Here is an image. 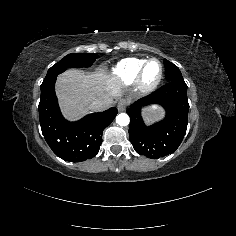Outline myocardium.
<instances>
[{
  "label": "myocardium",
  "instance_id": "obj_1",
  "mask_svg": "<svg viewBox=\"0 0 236 236\" xmlns=\"http://www.w3.org/2000/svg\"><path fill=\"white\" fill-rule=\"evenodd\" d=\"M152 61L159 62V64L161 65L162 71H161L160 77L158 78V80L155 83H153L151 85H146L143 82V77H144V74H145V71H146V68H147L148 64ZM164 75H165V69H164L163 62L160 59H158V58H149V59H147L143 63L142 67L140 68V70L137 74L136 80H135V85H136L137 90L139 92L143 93V94L153 93L160 86L161 82L164 79Z\"/></svg>",
  "mask_w": 236,
  "mask_h": 236
}]
</instances>
